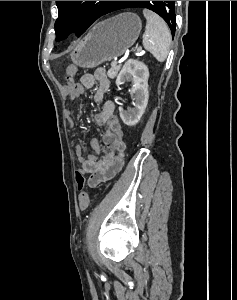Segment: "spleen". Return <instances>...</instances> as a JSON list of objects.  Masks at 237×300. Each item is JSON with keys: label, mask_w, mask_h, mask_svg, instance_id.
Returning <instances> with one entry per match:
<instances>
[{"label": "spleen", "mask_w": 237, "mask_h": 300, "mask_svg": "<svg viewBox=\"0 0 237 300\" xmlns=\"http://www.w3.org/2000/svg\"><path fill=\"white\" fill-rule=\"evenodd\" d=\"M143 15L146 19V27L143 35L144 49L149 51L159 63H163L170 51V31L165 21L159 15L153 13V11L144 9Z\"/></svg>", "instance_id": "1"}]
</instances>
